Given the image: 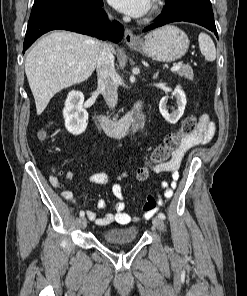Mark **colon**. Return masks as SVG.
<instances>
[{"mask_svg": "<svg viewBox=\"0 0 247 296\" xmlns=\"http://www.w3.org/2000/svg\"><path fill=\"white\" fill-rule=\"evenodd\" d=\"M197 130V119L195 116L190 115L186 117L180 128L174 132L168 134L163 143L158 145L149 158L147 165L141 166L136 173V177L139 181L147 179L150 171V167L153 165H159L169 160L172 153H174L180 146L182 140L194 134Z\"/></svg>", "mask_w": 247, "mask_h": 296, "instance_id": "obj_1", "label": "colon"}]
</instances>
